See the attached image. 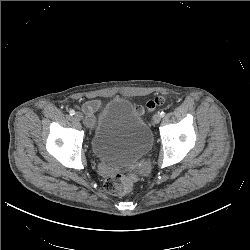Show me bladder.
<instances>
[{
    "mask_svg": "<svg viewBox=\"0 0 250 250\" xmlns=\"http://www.w3.org/2000/svg\"><path fill=\"white\" fill-rule=\"evenodd\" d=\"M152 143L146 119L126 98L113 99L107 104L90 136L93 156L114 166L139 162Z\"/></svg>",
    "mask_w": 250,
    "mask_h": 250,
    "instance_id": "bladder-1",
    "label": "bladder"
}]
</instances>
